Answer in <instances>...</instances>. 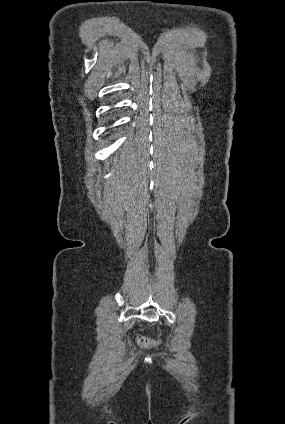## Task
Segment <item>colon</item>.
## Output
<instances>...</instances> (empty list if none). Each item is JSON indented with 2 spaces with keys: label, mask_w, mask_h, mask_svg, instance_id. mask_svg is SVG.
<instances>
[{
  "label": "colon",
  "mask_w": 285,
  "mask_h": 424,
  "mask_svg": "<svg viewBox=\"0 0 285 424\" xmlns=\"http://www.w3.org/2000/svg\"><path fill=\"white\" fill-rule=\"evenodd\" d=\"M162 338H163L162 336H160V337H159V339H160V340H161ZM138 343H139V345H141V346H151V345H153V344H154L152 341L148 340L147 338H145V337H143V336H139V337H138Z\"/></svg>",
  "instance_id": "obj_1"
}]
</instances>
